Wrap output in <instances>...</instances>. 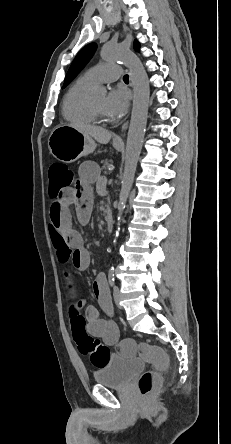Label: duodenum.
Wrapping results in <instances>:
<instances>
[{
  "label": "duodenum",
  "mask_w": 231,
  "mask_h": 444,
  "mask_svg": "<svg viewBox=\"0 0 231 444\" xmlns=\"http://www.w3.org/2000/svg\"><path fill=\"white\" fill-rule=\"evenodd\" d=\"M114 225V216L112 210H108L106 213V229L111 231Z\"/></svg>",
  "instance_id": "1"
}]
</instances>
